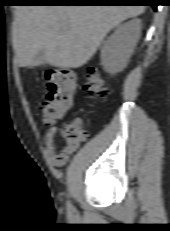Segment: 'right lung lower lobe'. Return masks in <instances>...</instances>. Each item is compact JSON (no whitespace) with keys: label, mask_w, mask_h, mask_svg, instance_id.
Wrapping results in <instances>:
<instances>
[{"label":"right lung lower lobe","mask_w":170,"mask_h":231,"mask_svg":"<svg viewBox=\"0 0 170 231\" xmlns=\"http://www.w3.org/2000/svg\"><path fill=\"white\" fill-rule=\"evenodd\" d=\"M159 0H27L29 5H149L157 9Z\"/></svg>","instance_id":"right-lung-lower-lobe-1"}]
</instances>
